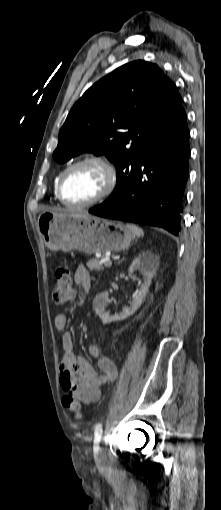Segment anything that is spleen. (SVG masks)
Here are the masks:
<instances>
[{
	"label": "spleen",
	"mask_w": 221,
	"mask_h": 510,
	"mask_svg": "<svg viewBox=\"0 0 221 510\" xmlns=\"http://www.w3.org/2000/svg\"><path fill=\"white\" fill-rule=\"evenodd\" d=\"M126 227L132 232L134 233L135 235H137L138 237H143L144 235V232L143 230L138 227L137 225H134V224H126Z\"/></svg>",
	"instance_id": "1"
}]
</instances>
